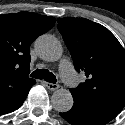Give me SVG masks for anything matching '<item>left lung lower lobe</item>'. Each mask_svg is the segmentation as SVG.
Returning a JSON list of instances; mask_svg holds the SVG:
<instances>
[{"mask_svg": "<svg viewBox=\"0 0 125 125\" xmlns=\"http://www.w3.org/2000/svg\"><path fill=\"white\" fill-rule=\"evenodd\" d=\"M74 98V105L60 116L72 125H105L114 119L125 106L111 100L83 102Z\"/></svg>", "mask_w": 125, "mask_h": 125, "instance_id": "obj_1", "label": "left lung lower lobe"}]
</instances>
